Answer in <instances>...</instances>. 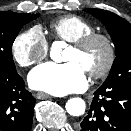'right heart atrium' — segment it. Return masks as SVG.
Returning a JSON list of instances; mask_svg holds the SVG:
<instances>
[{
	"instance_id": "right-heart-atrium-1",
	"label": "right heart atrium",
	"mask_w": 131,
	"mask_h": 131,
	"mask_svg": "<svg viewBox=\"0 0 131 131\" xmlns=\"http://www.w3.org/2000/svg\"><path fill=\"white\" fill-rule=\"evenodd\" d=\"M11 50L17 64L26 68L44 60L48 55L49 45L42 30L34 26L15 37Z\"/></svg>"
}]
</instances>
